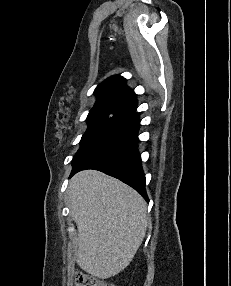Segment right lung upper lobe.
<instances>
[{"label": "right lung upper lobe", "instance_id": "1", "mask_svg": "<svg viewBox=\"0 0 231 286\" xmlns=\"http://www.w3.org/2000/svg\"><path fill=\"white\" fill-rule=\"evenodd\" d=\"M97 96L95 106L112 105L135 110L137 103L135 94L119 75L112 76L101 83L94 92Z\"/></svg>", "mask_w": 231, "mask_h": 286}]
</instances>
